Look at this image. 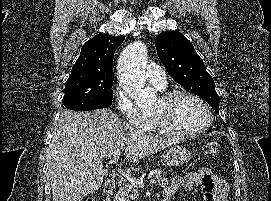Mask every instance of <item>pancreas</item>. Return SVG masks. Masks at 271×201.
<instances>
[{
	"mask_svg": "<svg viewBox=\"0 0 271 201\" xmlns=\"http://www.w3.org/2000/svg\"><path fill=\"white\" fill-rule=\"evenodd\" d=\"M157 179V183L162 188H166L169 184L167 178L161 175V171H156L154 174ZM139 196L138 187L131 183H124L123 186L119 189L118 194L114 201H130L136 199Z\"/></svg>",
	"mask_w": 271,
	"mask_h": 201,
	"instance_id": "cf45deb5",
	"label": "pancreas"
}]
</instances>
